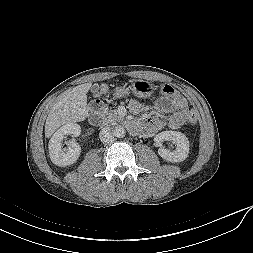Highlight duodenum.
Masks as SVG:
<instances>
[{
	"label": "duodenum",
	"instance_id": "410a0bca",
	"mask_svg": "<svg viewBox=\"0 0 253 253\" xmlns=\"http://www.w3.org/2000/svg\"><path fill=\"white\" fill-rule=\"evenodd\" d=\"M102 109L103 106L99 102H93L89 106V122L94 125L98 126L102 122ZM128 127L131 131H136L138 128L135 124L129 123Z\"/></svg>",
	"mask_w": 253,
	"mask_h": 253
}]
</instances>
